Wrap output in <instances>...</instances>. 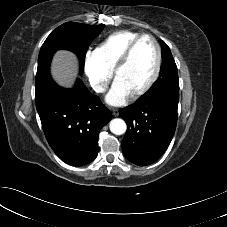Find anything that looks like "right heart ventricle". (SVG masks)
I'll return each instance as SVG.
<instances>
[{"instance_id": "1", "label": "right heart ventricle", "mask_w": 227, "mask_h": 227, "mask_svg": "<svg viewBox=\"0 0 227 227\" xmlns=\"http://www.w3.org/2000/svg\"><path fill=\"white\" fill-rule=\"evenodd\" d=\"M141 34L131 30H120L108 35L95 48L94 53L110 72L128 45Z\"/></svg>"}]
</instances>
